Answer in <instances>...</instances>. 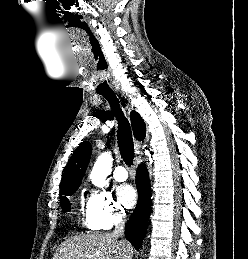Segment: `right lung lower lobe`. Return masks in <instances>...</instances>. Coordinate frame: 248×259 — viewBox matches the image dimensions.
Masks as SVG:
<instances>
[{
  "instance_id": "obj_1",
  "label": "right lung lower lobe",
  "mask_w": 248,
  "mask_h": 259,
  "mask_svg": "<svg viewBox=\"0 0 248 259\" xmlns=\"http://www.w3.org/2000/svg\"><path fill=\"white\" fill-rule=\"evenodd\" d=\"M136 185L139 194L138 202L126 223L125 237L136 249H140L151 212V187L147 169L143 164L137 169Z\"/></svg>"
}]
</instances>
